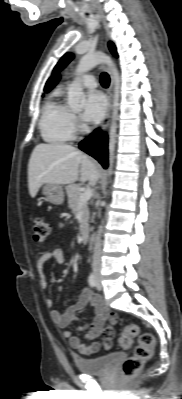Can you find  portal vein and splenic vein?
Here are the masks:
<instances>
[{"label":"portal vein and splenic vein","instance_id":"1","mask_svg":"<svg viewBox=\"0 0 182 399\" xmlns=\"http://www.w3.org/2000/svg\"><path fill=\"white\" fill-rule=\"evenodd\" d=\"M92 196V190L91 189H83L82 193L80 195V202H86L88 201Z\"/></svg>","mask_w":182,"mask_h":399}]
</instances>
